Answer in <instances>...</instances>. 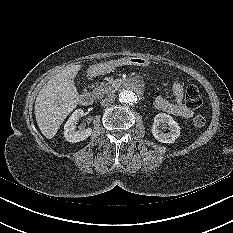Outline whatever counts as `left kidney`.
Listing matches in <instances>:
<instances>
[{"label":"left kidney","instance_id":"left-kidney-1","mask_svg":"<svg viewBox=\"0 0 233 233\" xmlns=\"http://www.w3.org/2000/svg\"><path fill=\"white\" fill-rule=\"evenodd\" d=\"M167 125L169 126L170 132L164 133L159 129L160 127L164 129ZM151 131L154 138L162 143H173L180 135L178 123L166 113H159L155 116Z\"/></svg>","mask_w":233,"mask_h":233}]
</instances>
